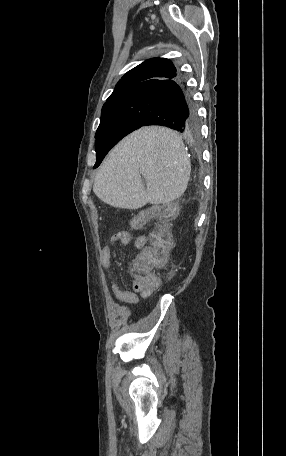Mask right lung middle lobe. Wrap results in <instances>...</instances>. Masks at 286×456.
<instances>
[{
	"instance_id": "right-lung-middle-lobe-1",
	"label": "right lung middle lobe",
	"mask_w": 286,
	"mask_h": 456,
	"mask_svg": "<svg viewBox=\"0 0 286 456\" xmlns=\"http://www.w3.org/2000/svg\"><path fill=\"white\" fill-rule=\"evenodd\" d=\"M130 107L125 98L105 103L101 122L96 131V163L98 167L109 150L123 137L134 130Z\"/></svg>"
}]
</instances>
